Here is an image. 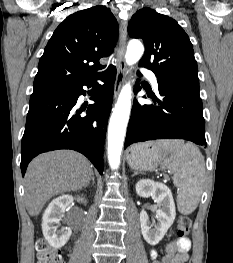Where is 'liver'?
<instances>
[{
    "instance_id": "obj_1",
    "label": "liver",
    "mask_w": 233,
    "mask_h": 263,
    "mask_svg": "<svg viewBox=\"0 0 233 263\" xmlns=\"http://www.w3.org/2000/svg\"><path fill=\"white\" fill-rule=\"evenodd\" d=\"M93 170L81 154L59 150L34 158L25 175V204L31 216L38 215L53 196L87 186Z\"/></svg>"
}]
</instances>
